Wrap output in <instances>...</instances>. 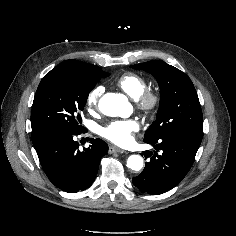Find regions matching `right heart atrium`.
I'll return each mask as SVG.
<instances>
[{"instance_id": "right-heart-atrium-1", "label": "right heart atrium", "mask_w": 236, "mask_h": 236, "mask_svg": "<svg viewBox=\"0 0 236 236\" xmlns=\"http://www.w3.org/2000/svg\"><path fill=\"white\" fill-rule=\"evenodd\" d=\"M104 88L102 86H97L93 88L86 98V105L90 112H95L98 109L100 97L103 93Z\"/></svg>"}]
</instances>
